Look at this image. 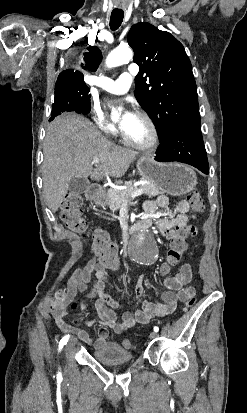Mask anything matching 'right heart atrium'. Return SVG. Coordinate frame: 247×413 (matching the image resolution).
Masks as SVG:
<instances>
[{
    "label": "right heart atrium",
    "instance_id": "right-heart-atrium-1",
    "mask_svg": "<svg viewBox=\"0 0 247 413\" xmlns=\"http://www.w3.org/2000/svg\"><path fill=\"white\" fill-rule=\"evenodd\" d=\"M90 113L93 114L95 118H98L100 114L103 113V106L102 105H91ZM98 126L104 134H115L117 131L116 127L113 126L108 121H106V119L102 115L99 117Z\"/></svg>",
    "mask_w": 247,
    "mask_h": 413
}]
</instances>
